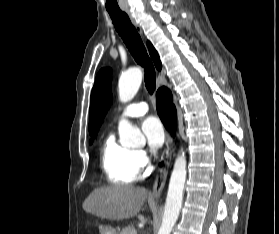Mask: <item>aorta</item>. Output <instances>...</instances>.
<instances>
[{"mask_svg": "<svg viewBox=\"0 0 279 234\" xmlns=\"http://www.w3.org/2000/svg\"><path fill=\"white\" fill-rule=\"evenodd\" d=\"M142 77V71L139 68H132L121 74L118 82V90L119 99L122 102H128L136 95L141 85ZM118 130L120 143L124 147H133L144 141V136L141 131L133 127L132 124L125 119L119 122ZM186 166V156L184 151L181 150L175 160L171 173L162 224L158 234H170L178 219L183 201Z\"/></svg>", "mask_w": 279, "mask_h": 234, "instance_id": "762f6f07", "label": "aorta"}]
</instances>
